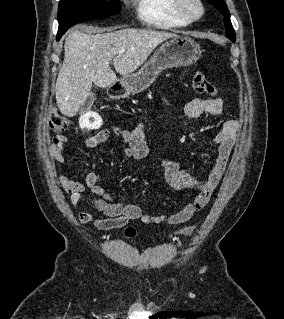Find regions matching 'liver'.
<instances>
[{
    "label": "liver",
    "mask_w": 284,
    "mask_h": 319,
    "mask_svg": "<svg viewBox=\"0 0 284 319\" xmlns=\"http://www.w3.org/2000/svg\"><path fill=\"white\" fill-rule=\"evenodd\" d=\"M87 34L73 31L64 43V61L59 71L55 95L60 112L72 117L90 95L92 83L106 88L117 81L109 66L122 76L137 70L163 41L175 33L126 28L118 31Z\"/></svg>",
    "instance_id": "obj_1"
}]
</instances>
